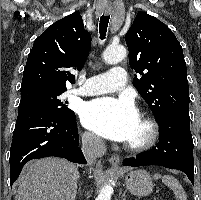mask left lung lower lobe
Returning a JSON list of instances; mask_svg holds the SVG:
<instances>
[{
	"instance_id": "left-lung-lower-lobe-1",
	"label": "left lung lower lobe",
	"mask_w": 201,
	"mask_h": 200,
	"mask_svg": "<svg viewBox=\"0 0 201 200\" xmlns=\"http://www.w3.org/2000/svg\"><path fill=\"white\" fill-rule=\"evenodd\" d=\"M159 143L151 150L123 161L124 166L158 165L183 171L194 183L193 139L189 112L173 111L158 121Z\"/></svg>"
}]
</instances>
